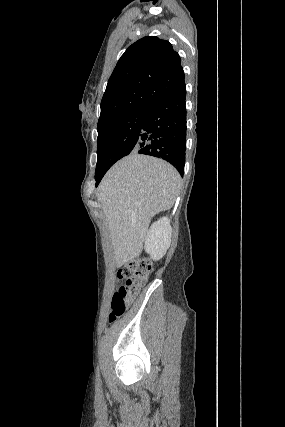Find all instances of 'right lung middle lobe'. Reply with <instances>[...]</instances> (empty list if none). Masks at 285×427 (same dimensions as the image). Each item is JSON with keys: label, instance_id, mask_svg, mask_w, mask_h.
Returning <instances> with one entry per match:
<instances>
[{"label": "right lung middle lobe", "instance_id": "dd1d6c3e", "mask_svg": "<svg viewBox=\"0 0 285 427\" xmlns=\"http://www.w3.org/2000/svg\"><path fill=\"white\" fill-rule=\"evenodd\" d=\"M146 108L117 116L99 126L95 175L107 171L116 161L135 150L141 134Z\"/></svg>", "mask_w": 285, "mask_h": 427}]
</instances>
